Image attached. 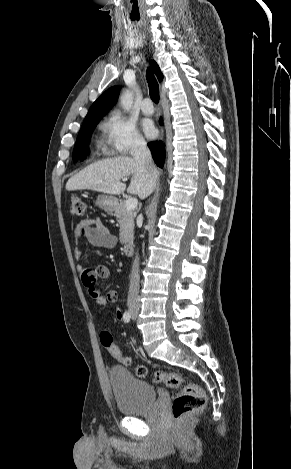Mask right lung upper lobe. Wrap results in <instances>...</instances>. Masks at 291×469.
<instances>
[{
    "instance_id": "right-lung-upper-lobe-1",
    "label": "right lung upper lobe",
    "mask_w": 291,
    "mask_h": 469,
    "mask_svg": "<svg viewBox=\"0 0 291 469\" xmlns=\"http://www.w3.org/2000/svg\"><path fill=\"white\" fill-rule=\"evenodd\" d=\"M152 68L159 81H162L163 74L155 61H151ZM119 96V87L113 86L106 90L90 107L85 119H95L104 116L116 103Z\"/></svg>"
}]
</instances>
